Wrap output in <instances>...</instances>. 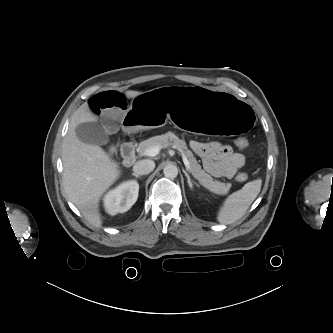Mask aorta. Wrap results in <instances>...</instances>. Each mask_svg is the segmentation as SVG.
Listing matches in <instances>:
<instances>
[{
  "instance_id": "1",
  "label": "aorta",
  "mask_w": 333,
  "mask_h": 333,
  "mask_svg": "<svg viewBox=\"0 0 333 333\" xmlns=\"http://www.w3.org/2000/svg\"><path fill=\"white\" fill-rule=\"evenodd\" d=\"M164 176L174 179L178 175V168L174 164H168L163 169Z\"/></svg>"
}]
</instances>
